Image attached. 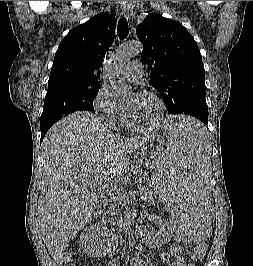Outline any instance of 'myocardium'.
<instances>
[{"label":"myocardium","mask_w":253,"mask_h":266,"mask_svg":"<svg viewBox=\"0 0 253 266\" xmlns=\"http://www.w3.org/2000/svg\"><path fill=\"white\" fill-rule=\"evenodd\" d=\"M139 94L150 95L156 100V102L158 104V114L152 122L145 124V125L137 124L135 122V120L131 117V115L128 114L127 117H128L129 126L135 130H138V131L153 129V128L157 127L163 119L164 111H165L164 101H163L162 97L157 92H155L153 90H143Z\"/></svg>","instance_id":"f54148a6"}]
</instances>
